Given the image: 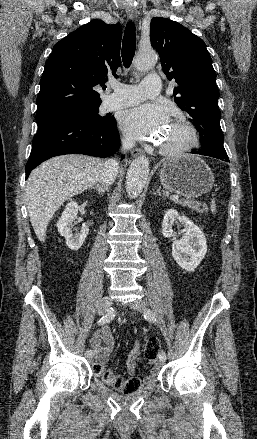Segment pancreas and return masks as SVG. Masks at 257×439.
Returning <instances> with one entry per match:
<instances>
[{
  "mask_svg": "<svg viewBox=\"0 0 257 439\" xmlns=\"http://www.w3.org/2000/svg\"><path fill=\"white\" fill-rule=\"evenodd\" d=\"M180 204L183 206H187L188 208L195 210L198 213H204L207 211V207L205 204H202L199 201H193L191 199H185L180 201ZM202 207V208H201Z\"/></svg>",
  "mask_w": 257,
  "mask_h": 439,
  "instance_id": "1",
  "label": "pancreas"
}]
</instances>
